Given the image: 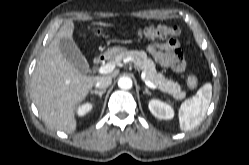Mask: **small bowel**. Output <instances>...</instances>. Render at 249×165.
I'll return each instance as SVG.
<instances>
[{
    "instance_id": "c3829d8e",
    "label": "small bowel",
    "mask_w": 249,
    "mask_h": 165,
    "mask_svg": "<svg viewBox=\"0 0 249 165\" xmlns=\"http://www.w3.org/2000/svg\"><path fill=\"white\" fill-rule=\"evenodd\" d=\"M149 51L160 66L171 68L175 72L185 69V61L176 40L169 39L164 43L152 44Z\"/></svg>"
}]
</instances>
